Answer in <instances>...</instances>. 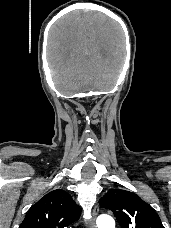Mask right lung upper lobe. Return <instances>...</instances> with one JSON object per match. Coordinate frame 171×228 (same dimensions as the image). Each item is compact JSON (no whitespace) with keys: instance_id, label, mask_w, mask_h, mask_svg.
Segmentation results:
<instances>
[{"instance_id":"cb5924a9","label":"right lung upper lobe","mask_w":171,"mask_h":228,"mask_svg":"<svg viewBox=\"0 0 171 228\" xmlns=\"http://www.w3.org/2000/svg\"><path fill=\"white\" fill-rule=\"evenodd\" d=\"M80 212L66 191L56 189L31 207L19 228H67L78 220Z\"/></svg>"}]
</instances>
